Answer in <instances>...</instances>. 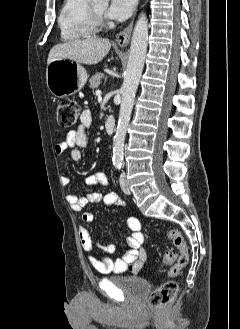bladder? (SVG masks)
<instances>
[{"label": "bladder", "instance_id": "1", "mask_svg": "<svg viewBox=\"0 0 240 329\" xmlns=\"http://www.w3.org/2000/svg\"><path fill=\"white\" fill-rule=\"evenodd\" d=\"M110 281L129 295L141 298L150 289L147 279L141 276H111Z\"/></svg>", "mask_w": 240, "mask_h": 329}]
</instances>
